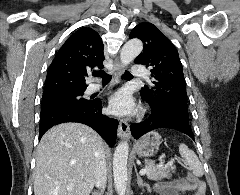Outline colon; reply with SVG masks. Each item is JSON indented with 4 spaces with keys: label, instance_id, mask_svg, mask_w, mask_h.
Wrapping results in <instances>:
<instances>
[{
    "label": "colon",
    "instance_id": "colon-1",
    "mask_svg": "<svg viewBox=\"0 0 240 195\" xmlns=\"http://www.w3.org/2000/svg\"><path fill=\"white\" fill-rule=\"evenodd\" d=\"M186 181L190 182L191 184H193L194 188L202 187V180H200V179L198 180V178H195V174L191 173V169L190 168L186 169Z\"/></svg>",
    "mask_w": 240,
    "mask_h": 195
}]
</instances>
